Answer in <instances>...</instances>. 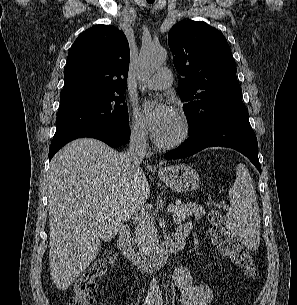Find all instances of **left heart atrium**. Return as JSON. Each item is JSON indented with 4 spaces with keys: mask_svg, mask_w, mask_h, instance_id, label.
I'll list each match as a JSON object with an SVG mask.
<instances>
[{
    "mask_svg": "<svg viewBox=\"0 0 297 305\" xmlns=\"http://www.w3.org/2000/svg\"><path fill=\"white\" fill-rule=\"evenodd\" d=\"M143 111L145 123L157 139L169 128L176 117L173 108L165 102L149 103Z\"/></svg>",
    "mask_w": 297,
    "mask_h": 305,
    "instance_id": "1",
    "label": "left heart atrium"
}]
</instances>
